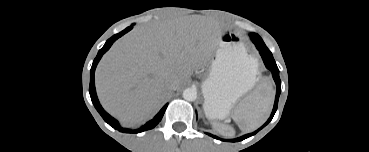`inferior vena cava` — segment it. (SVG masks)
<instances>
[{"label": "inferior vena cava", "mask_w": 369, "mask_h": 152, "mask_svg": "<svg viewBox=\"0 0 369 152\" xmlns=\"http://www.w3.org/2000/svg\"><path fill=\"white\" fill-rule=\"evenodd\" d=\"M167 87L170 90H176L177 89V83H176V81L168 80L167 81Z\"/></svg>", "instance_id": "obj_1"}]
</instances>
